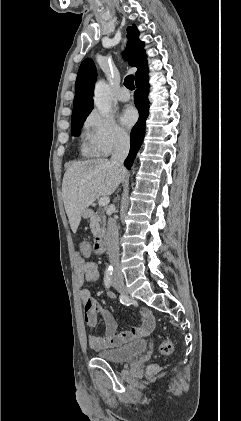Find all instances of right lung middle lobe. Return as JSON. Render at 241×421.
<instances>
[{"mask_svg": "<svg viewBox=\"0 0 241 421\" xmlns=\"http://www.w3.org/2000/svg\"><path fill=\"white\" fill-rule=\"evenodd\" d=\"M87 116L88 115L72 118V121H71V133H72V135H75V134L79 135L80 134V130H81L82 125H83Z\"/></svg>", "mask_w": 241, "mask_h": 421, "instance_id": "1", "label": "right lung middle lobe"}]
</instances>
